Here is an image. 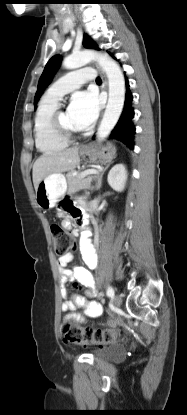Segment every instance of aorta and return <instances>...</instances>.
Masks as SVG:
<instances>
[{
  "mask_svg": "<svg viewBox=\"0 0 187 415\" xmlns=\"http://www.w3.org/2000/svg\"><path fill=\"white\" fill-rule=\"evenodd\" d=\"M96 61L106 73L109 83V98L102 121L97 130V138L105 139L117 124L125 102V79L119 65L107 54L93 50H84L66 57L63 66L66 69H76Z\"/></svg>",
  "mask_w": 187,
  "mask_h": 415,
  "instance_id": "1",
  "label": "aorta"
}]
</instances>
